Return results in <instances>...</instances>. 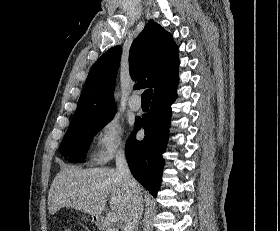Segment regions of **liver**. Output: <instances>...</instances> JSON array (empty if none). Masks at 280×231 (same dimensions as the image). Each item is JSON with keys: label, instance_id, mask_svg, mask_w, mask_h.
I'll return each instance as SVG.
<instances>
[{"label": "liver", "instance_id": "liver-1", "mask_svg": "<svg viewBox=\"0 0 280 231\" xmlns=\"http://www.w3.org/2000/svg\"><path fill=\"white\" fill-rule=\"evenodd\" d=\"M109 199L110 209L125 221L131 209L132 189L111 167L65 165L54 177L49 195L50 213L61 207H75L92 217H99Z\"/></svg>", "mask_w": 280, "mask_h": 231}]
</instances>
